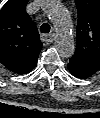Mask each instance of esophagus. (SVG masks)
I'll return each instance as SVG.
<instances>
[{"label":"esophagus","instance_id":"1","mask_svg":"<svg viewBox=\"0 0 100 118\" xmlns=\"http://www.w3.org/2000/svg\"><path fill=\"white\" fill-rule=\"evenodd\" d=\"M55 33L45 34L41 36V39L45 42H53L55 39Z\"/></svg>","mask_w":100,"mask_h":118}]
</instances>
